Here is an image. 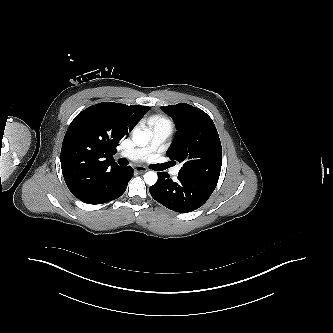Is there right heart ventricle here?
Listing matches in <instances>:
<instances>
[{"label": "right heart ventricle", "instance_id": "e07e8e85", "mask_svg": "<svg viewBox=\"0 0 333 333\" xmlns=\"http://www.w3.org/2000/svg\"><path fill=\"white\" fill-rule=\"evenodd\" d=\"M163 122H169L168 120L164 119V118H154L151 120V124L154 126L158 123H163Z\"/></svg>", "mask_w": 333, "mask_h": 333}]
</instances>
